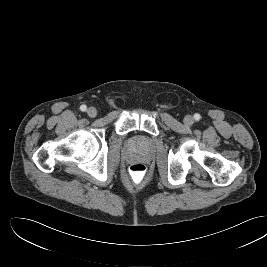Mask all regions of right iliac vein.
Masks as SVG:
<instances>
[{
    "mask_svg": "<svg viewBox=\"0 0 267 267\" xmlns=\"http://www.w3.org/2000/svg\"><path fill=\"white\" fill-rule=\"evenodd\" d=\"M87 115L91 118H94L97 115V110L94 107H89L87 110Z\"/></svg>",
    "mask_w": 267,
    "mask_h": 267,
    "instance_id": "1",
    "label": "right iliac vein"
}]
</instances>
